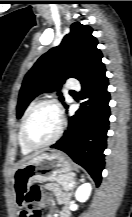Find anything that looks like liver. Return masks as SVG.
Instances as JSON below:
<instances>
[{"mask_svg": "<svg viewBox=\"0 0 132 217\" xmlns=\"http://www.w3.org/2000/svg\"><path fill=\"white\" fill-rule=\"evenodd\" d=\"M37 155H38V154H34V155H31V156H28V157L24 158L21 163H24V162H26V161L32 159L33 157H35V156H37Z\"/></svg>", "mask_w": 132, "mask_h": 217, "instance_id": "6515ba94", "label": "liver"}]
</instances>
